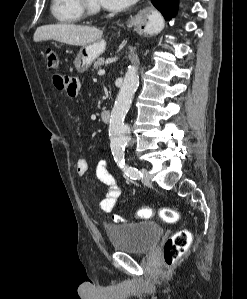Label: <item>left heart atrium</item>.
<instances>
[{"label": "left heart atrium", "instance_id": "39dd6f15", "mask_svg": "<svg viewBox=\"0 0 247 299\" xmlns=\"http://www.w3.org/2000/svg\"><path fill=\"white\" fill-rule=\"evenodd\" d=\"M98 1L102 6L108 9L118 10L128 6L135 0H98Z\"/></svg>", "mask_w": 247, "mask_h": 299}]
</instances>
